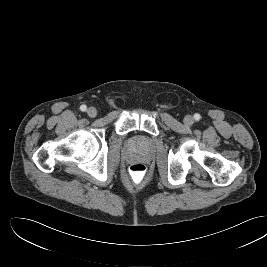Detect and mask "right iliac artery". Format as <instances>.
<instances>
[{"instance_id": "1", "label": "right iliac artery", "mask_w": 267, "mask_h": 267, "mask_svg": "<svg viewBox=\"0 0 267 267\" xmlns=\"http://www.w3.org/2000/svg\"><path fill=\"white\" fill-rule=\"evenodd\" d=\"M86 109H87L86 105H81V106H80V110H81L82 112L86 111Z\"/></svg>"}]
</instances>
